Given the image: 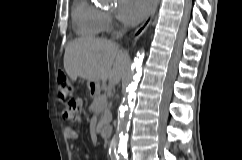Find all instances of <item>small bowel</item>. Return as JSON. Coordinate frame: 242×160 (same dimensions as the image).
I'll return each instance as SVG.
<instances>
[{
    "instance_id": "small-bowel-1",
    "label": "small bowel",
    "mask_w": 242,
    "mask_h": 160,
    "mask_svg": "<svg viewBox=\"0 0 242 160\" xmlns=\"http://www.w3.org/2000/svg\"><path fill=\"white\" fill-rule=\"evenodd\" d=\"M75 101H76V104H77V112H79L80 111V102L78 100H75ZM68 112H69V109L65 108L64 117L70 118L69 115H68ZM68 136L71 139H75L76 138V133L72 129L69 128L68 129Z\"/></svg>"
}]
</instances>
